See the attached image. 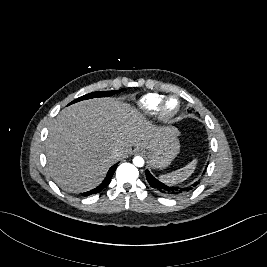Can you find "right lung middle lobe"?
<instances>
[{
	"mask_svg": "<svg viewBox=\"0 0 267 267\" xmlns=\"http://www.w3.org/2000/svg\"><path fill=\"white\" fill-rule=\"evenodd\" d=\"M117 92H118L117 90L93 92V93L86 94L84 96H81V97L77 98L76 100L72 101L70 104L76 103L78 101L86 100V99L95 98V97H108V96H112V95L116 94Z\"/></svg>",
	"mask_w": 267,
	"mask_h": 267,
	"instance_id": "right-lung-middle-lobe-1",
	"label": "right lung middle lobe"
}]
</instances>
